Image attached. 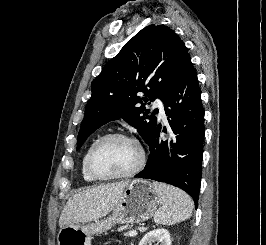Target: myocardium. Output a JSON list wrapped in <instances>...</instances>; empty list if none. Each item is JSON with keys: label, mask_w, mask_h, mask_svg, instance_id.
Returning a JSON list of instances; mask_svg holds the SVG:
<instances>
[{"label": "myocardium", "mask_w": 266, "mask_h": 245, "mask_svg": "<svg viewBox=\"0 0 266 245\" xmlns=\"http://www.w3.org/2000/svg\"><path fill=\"white\" fill-rule=\"evenodd\" d=\"M114 138H119V139H123L126 141H130L132 143H134L138 150H139V158L138 161L136 163V165L134 166V168L132 170H130L129 172L122 174V175H116V176H103L101 174H99L96 169L94 168L93 165V156L96 152V150L106 141L110 140V139H114ZM145 157H146V153H145V149L143 147V145L140 143V141L138 139H136L135 137H132L126 133H122V132H112V133H107L101 137H99L89 148L88 153H87V170L89 172V174L96 179L97 181H115V180H121V179H126V178H130L133 177L134 175H136L144 166L145 163Z\"/></svg>", "instance_id": "f54148a6"}]
</instances>
